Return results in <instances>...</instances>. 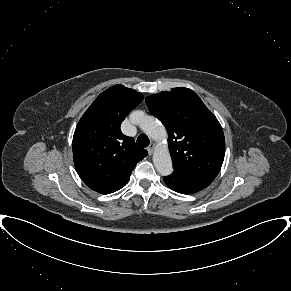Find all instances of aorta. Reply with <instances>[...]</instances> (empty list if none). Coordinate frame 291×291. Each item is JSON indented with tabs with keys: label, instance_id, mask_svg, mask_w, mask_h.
<instances>
[{
	"label": "aorta",
	"instance_id": "obj_1",
	"mask_svg": "<svg viewBox=\"0 0 291 291\" xmlns=\"http://www.w3.org/2000/svg\"><path fill=\"white\" fill-rule=\"evenodd\" d=\"M131 120L153 140L161 142L167 138L164 125L155 117L146 115L143 111H135L131 114ZM153 163L162 176H168L173 172L170 152L166 145H161L155 150Z\"/></svg>",
	"mask_w": 291,
	"mask_h": 291
}]
</instances>
